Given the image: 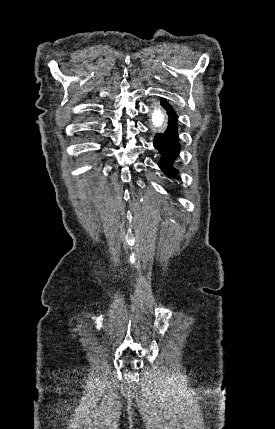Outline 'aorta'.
<instances>
[{"instance_id": "aorta-1", "label": "aorta", "mask_w": 275, "mask_h": 429, "mask_svg": "<svg viewBox=\"0 0 275 429\" xmlns=\"http://www.w3.org/2000/svg\"><path fill=\"white\" fill-rule=\"evenodd\" d=\"M150 119L154 127L156 128L164 127L167 120V113L164 107H162L159 104L153 105L150 111Z\"/></svg>"}]
</instances>
